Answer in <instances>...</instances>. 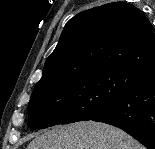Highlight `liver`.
I'll list each match as a JSON object with an SVG mask.
<instances>
[{
    "label": "liver",
    "mask_w": 155,
    "mask_h": 149,
    "mask_svg": "<svg viewBox=\"0 0 155 149\" xmlns=\"http://www.w3.org/2000/svg\"><path fill=\"white\" fill-rule=\"evenodd\" d=\"M27 149H145L121 129L101 122L81 121L56 126L35 137Z\"/></svg>",
    "instance_id": "6515ba94"
}]
</instances>
